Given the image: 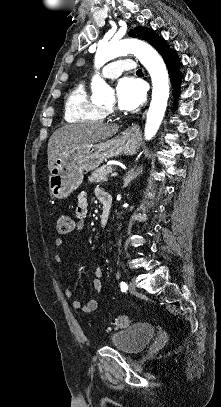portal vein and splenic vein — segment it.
<instances>
[{
    "label": "portal vein and splenic vein",
    "instance_id": "18ae733b",
    "mask_svg": "<svg viewBox=\"0 0 221 407\" xmlns=\"http://www.w3.org/2000/svg\"><path fill=\"white\" fill-rule=\"evenodd\" d=\"M118 175V173L117 172H113V173H111V177H115V176H117Z\"/></svg>",
    "mask_w": 221,
    "mask_h": 407
}]
</instances>
